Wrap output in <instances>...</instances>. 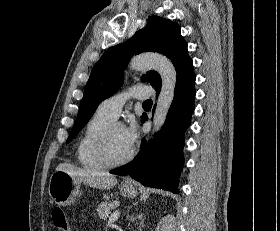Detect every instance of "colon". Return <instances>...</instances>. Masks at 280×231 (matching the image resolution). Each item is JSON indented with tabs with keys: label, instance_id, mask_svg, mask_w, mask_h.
Returning a JSON list of instances; mask_svg holds the SVG:
<instances>
[{
	"label": "colon",
	"instance_id": "1",
	"mask_svg": "<svg viewBox=\"0 0 280 231\" xmlns=\"http://www.w3.org/2000/svg\"><path fill=\"white\" fill-rule=\"evenodd\" d=\"M63 211H59L58 208H55L52 211V220H54V225H61L59 231H72L73 226L67 225V220H63Z\"/></svg>",
	"mask_w": 280,
	"mask_h": 231
}]
</instances>
